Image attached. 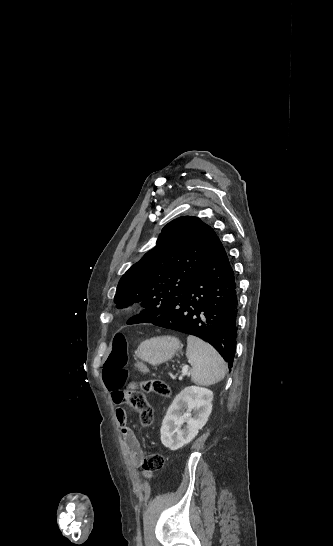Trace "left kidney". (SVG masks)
Masks as SVG:
<instances>
[{
	"instance_id": "5707ae66",
	"label": "left kidney",
	"mask_w": 333,
	"mask_h": 546,
	"mask_svg": "<svg viewBox=\"0 0 333 546\" xmlns=\"http://www.w3.org/2000/svg\"><path fill=\"white\" fill-rule=\"evenodd\" d=\"M213 392L207 388L188 386L173 400L161 426V442L170 450L189 443L206 424L212 411ZM186 423L182 429L183 423Z\"/></svg>"
}]
</instances>
